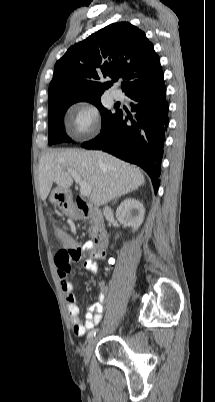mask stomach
Instances as JSON below:
<instances>
[{
	"label": "stomach",
	"mask_w": 215,
	"mask_h": 402,
	"mask_svg": "<svg viewBox=\"0 0 215 402\" xmlns=\"http://www.w3.org/2000/svg\"><path fill=\"white\" fill-rule=\"evenodd\" d=\"M50 201L65 214H70L73 210L69 190L55 188L51 192Z\"/></svg>",
	"instance_id": "stomach-1"
}]
</instances>
